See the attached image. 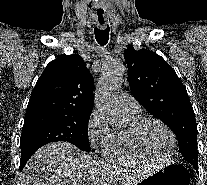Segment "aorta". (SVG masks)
<instances>
[{"instance_id":"762f6f07","label":"aorta","mask_w":207,"mask_h":185,"mask_svg":"<svg viewBox=\"0 0 207 185\" xmlns=\"http://www.w3.org/2000/svg\"><path fill=\"white\" fill-rule=\"evenodd\" d=\"M125 65L120 61H110L101 70L100 78L95 91V103L99 112L115 128L126 124V116L119 107L118 93L123 83Z\"/></svg>"}]
</instances>
